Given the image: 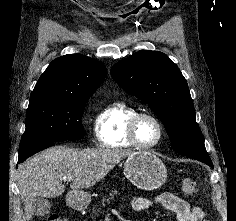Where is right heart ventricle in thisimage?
I'll list each match as a JSON object with an SVG mask.
<instances>
[{
	"label": "right heart ventricle",
	"instance_id": "right-heart-ventricle-1",
	"mask_svg": "<svg viewBox=\"0 0 236 221\" xmlns=\"http://www.w3.org/2000/svg\"><path fill=\"white\" fill-rule=\"evenodd\" d=\"M138 110L123 100L105 106L95 120V134L105 148L129 149L134 146L127 138L129 120Z\"/></svg>",
	"mask_w": 236,
	"mask_h": 221
}]
</instances>
